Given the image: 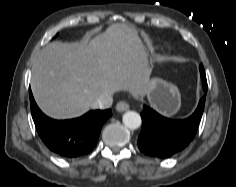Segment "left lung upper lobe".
Wrapping results in <instances>:
<instances>
[{
	"label": "left lung upper lobe",
	"mask_w": 236,
	"mask_h": 187,
	"mask_svg": "<svg viewBox=\"0 0 236 187\" xmlns=\"http://www.w3.org/2000/svg\"><path fill=\"white\" fill-rule=\"evenodd\" d=\"M199 69H200V71H202V70L204 71V67L202 64L200 65ZM201 79H202L203 84H205L207 86V80H206L205 74L201 76Z\"/></svg>",
	"instance_id": "1"
}]
</instances>
